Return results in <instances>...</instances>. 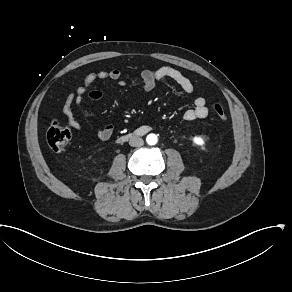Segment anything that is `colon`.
Returning a JSON list of instances; mask_svg holds the SVG:
<instances>
[{
	"instance_id": "5ec220e1",
	"label": "colon",
	"mask_w": 292,
	"mask_h": 292,
	"mask_svg": "<svg viewBox=\"0 0 292 292\" xmlns=\"http://www.w3.org/2000/svg\"><path fill=\"white\" fill-rule=\"evenodd\" d=\"M213 111L216 116L226 122L228 120V115L225 108L220 103H215L213 105ZM71 139V131L66 128L60 122H54L51 127L47 130L46 140L52 150L56 154H62L66 151V148Z\"/></svg>"
}]
</instances>
